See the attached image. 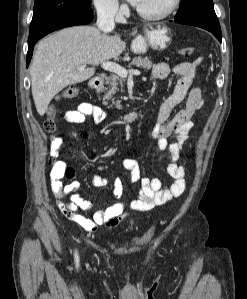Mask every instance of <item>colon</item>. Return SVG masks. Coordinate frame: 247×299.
Wrapping results in <instances>:
<instances>
[{
    "label": "colon",
    "mask_w": 247,
    "mask_h": 299,
    "mask_svg": "<svg viewBox=\"0 0 247 299\" xmlns=\"http://www.w3.org/2000/svg\"><path fill=\"white\" fill-rule=\"evenodd\" d=\"M196 52L195 47H185L178 50V54L182 57H190ZM79 90L76 86H70L62 91L59 98L61 99H73L77 97ZM44 130L51 136L53 141L56 139L57 132V121L55 118V108L54 106H50L47 109V118L44 122ZM55 156L52 155L50 159V164L52 165V173L55 171L56 166ZM73 172L69 168H64L61 172V176L71 177Z\"/></svg>",
    "instance_id": "colon-1"
}]
</instances>
